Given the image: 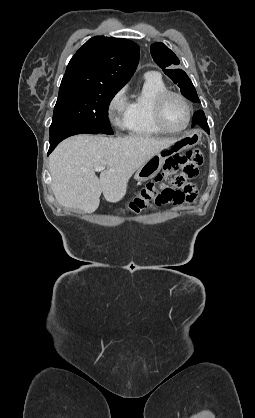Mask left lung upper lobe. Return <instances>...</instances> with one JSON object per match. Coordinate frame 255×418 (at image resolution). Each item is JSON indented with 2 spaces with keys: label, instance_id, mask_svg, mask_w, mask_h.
<instances>
[{
  "label": "left lung upper lobe",
  "instance_id": "left-lung-upper-lobe-1",
  "mask_svg": "<svg viewBox=\"0 0 255 418\" xmlns=\"http://www.w3.org/2000/svg\"><path fill=\"white\" fill-rule=\"evenodd\" d=\"M150 52L157 65L163 69V72L181 88L182 95L193 102L199 103L197 92L187 74L181 69H169V67L180 63L178 57L160 42L152 44Z\"/></svg>",
  "mask_w": 255,
  "mask_h": 418
}]
</instances>
